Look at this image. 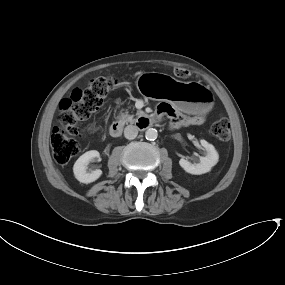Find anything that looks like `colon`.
Instances as JSON below:
<instances>
[{
    "label": "colon",
    "mask_w": 285,
    "mask_h": 285,
    "mask_svg": "<svg viewBox=\"0 0 285 285\" xmlns=\"http://www.w3.org/2000/svg\"><path fill=\"white\" fill-rule=\"evenodd\" d=\"M178 79H187L190 72L178 67L174 70ZM119 83L112 76H99L92 79L86 88L73 89L68 97L61 100L57 124L53 127L50 144L53 150V158L58 164H66L79 153V144L76 140L81 135L77 130V124L89 118L103 103L104 99L115 89ZM211 133L219 141H228L230 138V125L226 117L220 116L212 122ZM97 131L93 125L86 132Z\"/></svg>",
    "instance_id": "obj_1"
}]
</instances>
